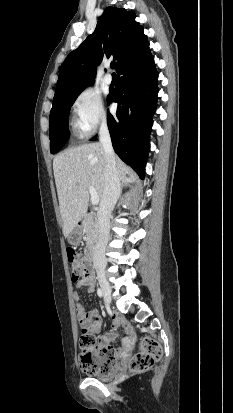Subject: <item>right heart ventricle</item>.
<instances>
[{
  "instance_id": "obj_1",
  "label": "right heart ventricle",
  "mask_w": 233,
  "mask_h": 413,
  "mask_svg": "<svg viewBox=\"0 0 233 413\" xmlns=\"http://www.w3.org/2000/svg\"><path fill=\"white\" fill-rule=\"evenodd\" d=\"M71 125H72V130H73V133H74L75 136H77V137H83L84 136V134L81 131L80 127L78 126L77 122H72Z\"/></svg>"
}]
</instances>
